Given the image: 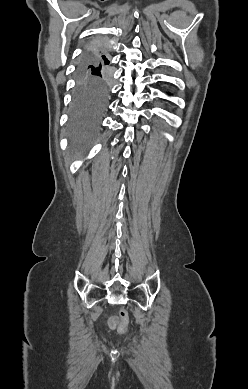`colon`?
<instances>
[{
  "label": "colon",
  "instance_id": "colon-1",
  "mask_svg": "<svg viewBox=\"0 0 248 389\" xmlns=\"http://www.w3.org/2000/svg\"><path fill=\"white\" fill-rule=\"evenodd\" d=\"M118 329L122 334L129 333V314L128 311L122 307L119 310V325Z\"/></svg>",
  "mask_w": 248,
  "mask_h": 389
}]
</instances>
